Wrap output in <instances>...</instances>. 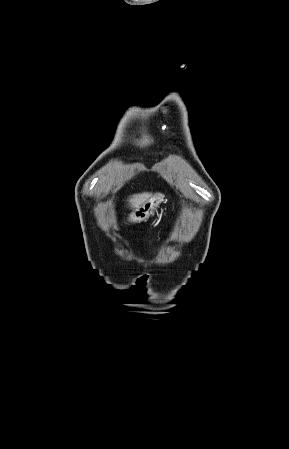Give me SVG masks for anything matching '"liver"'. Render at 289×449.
Masks as SVG:
<instances>
[{
    "label": "liver",
    "mask_w": 289,
    "mask_h": 449,
    "mask_svg": "<svg viewBox=\"0 0 289 449\" xmlns=\"http://www.w3.org/2000/svg\"><path fill=\"white\" fill-rule=\"evenodd\" d=\"M150 196H151V194H149V193L133 195L132 198H130V200H129L131 207L132 208L138 207L139 205L144 203Z\"/></svg>",
    "instance_id": "obj_1"
}]
</instances>
